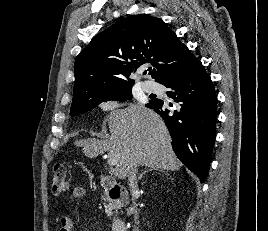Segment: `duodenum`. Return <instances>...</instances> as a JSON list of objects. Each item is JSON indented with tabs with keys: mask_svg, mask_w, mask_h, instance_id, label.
Listing matches in <instances>:
<instances>
[{
	"mask_svg": "<svg viewBox=\"0 0 268 231\" xmlns=\"http://www.w3.org/2000/svg\"><path fill=\"white\" fill-rule=\"evenodd\" d=\"M100 185L107 191L108 197L114 206L127 204L129 199L127 190L117 183L113 177L107 175L101 176ZM112 231H126V223L121 217H115Z\"/></svg>",
	"mask_w": 268,
	"mask_h": 231,
	"instance_id": "obj_1",
	"label": "duodenum"
}]
</instances>
